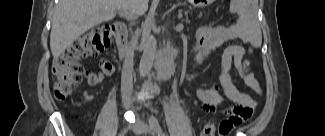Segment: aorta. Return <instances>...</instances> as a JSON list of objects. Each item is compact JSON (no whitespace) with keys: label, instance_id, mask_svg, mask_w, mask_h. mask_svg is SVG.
Here are the masks:
<instances>
[{"label":"aorta","instance_id":"obj_1","mask_svg":"<svg viewBox=\"0 0 325 136\" xmlns=\"http://www.w3.org/2000/svg\"><path fill=\"white\" fill-rule=\"evenodd\" d=\"M153 27L154 18L150 14L145 21L142 35L143 54L139 65V74L141 77H145L150 73L156 56L157 41L151 34V29Z\"/></svg>","mask_w":325,"mask_h":136}]
</instances>
